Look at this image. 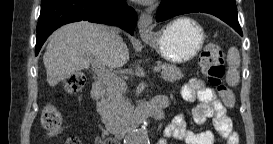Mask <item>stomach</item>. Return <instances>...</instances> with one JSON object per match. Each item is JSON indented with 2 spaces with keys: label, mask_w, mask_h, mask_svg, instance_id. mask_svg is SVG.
<instances>
[{
  "label": "stomach",
  "mask_w": 273,
  "mask_h": 144,
  "mask_svg": "<svg viewBox=\"0 0 273 144\" xmlns=\"http://www.w3.org/2000/svg\"><path fill=\"white\" fill-rule=\"evenodd\" d=\"M204 40L203 28L187 17L172 21L151 38L143 37V41L162 58L174 64L193 59L201 50Z\"/></svg>",
  "instance_id": "1"
}]
</instances>
